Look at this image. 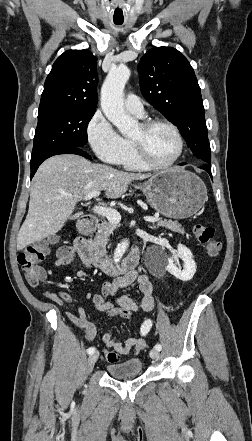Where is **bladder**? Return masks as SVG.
I'll list each match as a JSON object with an SVG mask.
<instances>
[{"mask_svg":"<svg viewBox=\"0 0 252 441\" xmlns=\"http://www.w3.org/2000/svg\"><path fill=\"white\" fill-rule=\"evenodd\" d=\"M143 370L140 359H129L119 363H110L106 366L108 375L113 379L126 380L139 376Z\"/></svg>","mask_w":252,"mask_h":441,"instance_id":"obj_1","label":"bladder"}]
</instances>
